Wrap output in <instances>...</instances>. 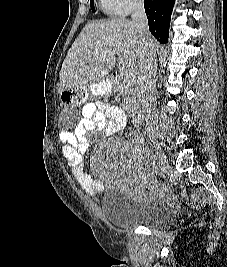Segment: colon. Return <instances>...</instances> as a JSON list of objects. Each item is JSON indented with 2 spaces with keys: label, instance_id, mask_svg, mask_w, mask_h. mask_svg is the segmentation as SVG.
Returning <instances> with one entry per match:
<instances>
[{
  "label": "colon",
  "instance_id": "obj_1",
  "mask_svg": "<svg viewBox=\"0 0 227 267\" xmlns=\"http://www.w3.org/2000/svg\"><path fill=\"white\" fill-rule=\"evenodd\" d=\"M66 105L70 106L72 104ZM75 119H80V114L78 110H68L67 108L61 110L59 129L71 130Z\"/></svg>",
  "mask_w": 227,
  "mask_h": 267
}]
</instances>
